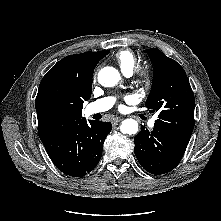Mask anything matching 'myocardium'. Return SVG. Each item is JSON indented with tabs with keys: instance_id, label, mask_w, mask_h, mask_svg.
<instances>
[{
	"instance_id": "obj_1",
	"label": "myocardium",
	"mask_w": 221,
	"mask_h": 221,
	"mask_svg": "<svg viewBox=\"0 0 221 221\" xmlns=\"http://www.w3.org/2000/svg\"><path fill=\"white\" fill-rule=\"evenodd\" d=\"M137 75L141 80V83L144 86H149L152 83V74L151 72L146 68H139L137 70Z\"/></svg>"
}]
</instances>
